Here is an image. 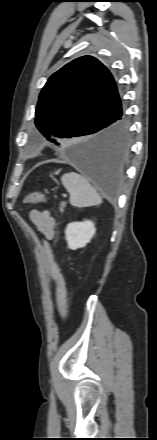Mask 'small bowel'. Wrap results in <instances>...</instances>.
Returning <instances> with one entry per match:
<instances>
[{
    "mask_svg": "<svg viewBox=\"0 0 157 440\" xmlns=\"http://www.w3.org/2000/svg\"><path fill=\"white\" fill-rule=\"evenodd\" d=\"M30 219L47 239L50 240L54 237L55 220L48 211L34 209L30 212Z\"/></svg>",
    "mask_w": 157,
    "mask_h": 440,
    "instance_id": "c3829d8e",
    "label": "small bowel"
}]
</instances>
